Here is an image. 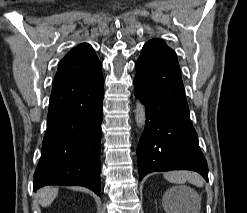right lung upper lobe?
<instances>
[{"mask_svg":"<svg viewBox=\"0 0 247 213\" xmlns=\"http://www.w3.org/2000/svg\"><path fill=\"white\" fill-rule=\"evenodd\" d=\"M101 67L93 48L82 43L72 49L59 63L54 83L90 73Z\"/></svg>","mask_w":247,"mask_h":213,"instance_id":"cb5924a9","label":"right lung upper lobe"}]
</instances>
